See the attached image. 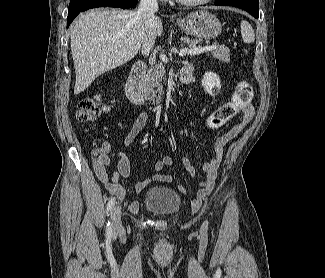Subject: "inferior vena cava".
Returning a JSON list of instances; mask_svg holds the SVG:
<instances>
[{"label":"inferior vena cava","instance_id":"inferior-vena-cava-1","mask_svg":"<svg viewBox=\"0 0 325 278\" xmlns=\"http://www.w3.org/2000/svg\"><path fill=\"white\" fill-rule=\"evenodd\" d=\"M158 11L157 0H140V5L137 13L142 17L146 27V37L142 43L141 52L144 56H148L150 50L155 43V33L153 24L155 19V12Z\"/></svg>","mask_w":325,"mask_h":278}]
</instances>
